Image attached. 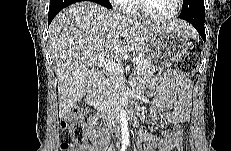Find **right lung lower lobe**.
I'll return each instance as SVG.
<instances>
[{"mask_svg": "<svg viewBox=\"0 0 231 151\" xmlns=\"http://www.w3.org/2000/svg\"><path fill=\"white\" fill-rule=\"evenodd\" d=\"M76 2H78V0H51L48 14V25L51 23L53 18L59 13V11L69 6L70 4ZM93 2L98 3L104 7L111 8V4L108 0H93Z\"/></svg>", "mask_w": 231, "mask_h": 151, "instance_id": "1", "label": "right lung lower lobe"}]
</instances>
